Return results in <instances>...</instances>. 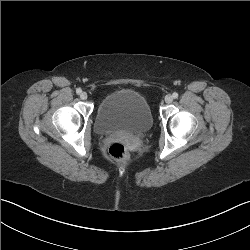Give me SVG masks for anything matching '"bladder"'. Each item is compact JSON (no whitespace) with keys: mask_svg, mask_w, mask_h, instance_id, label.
Here are the masks:
<instances>
[{"mask_svg":"<svg viewBox=\"0 0 250 250\" xmlns=\"http://www.w3.org/2000/svg\"><path fill=\"white\" fill-rule=\"evenodd\" d=\"M152 126L153 116L148 101L130 89H120L106 95L95 114V131L102 135H140L148 132Z\"/></svg>","mask_w":250,"mask_h":250,"instance_id":"31cf9c89","label":"bladder"}]
</instances>
